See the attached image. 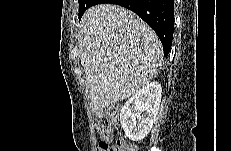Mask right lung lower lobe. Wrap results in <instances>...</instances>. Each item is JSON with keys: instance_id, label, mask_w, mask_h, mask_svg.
Here are the masks:
<instances>
[{"instance_id": "obj_1", "label": "right lung lower lobe", "mask_w": 231, "mask_h": 151, "mask_svg": "<svg viewBox=\"0 0 231 151\" xmlns=\"http://www.w3.org/2000/svg\"><path fill=\"white\" fill-rule=\"evenodd\" d=\"M110 3L123 6L141 17L158 35L166 57L174 32V0H92L91 6Z\"/></svg>"}]
</instances>
